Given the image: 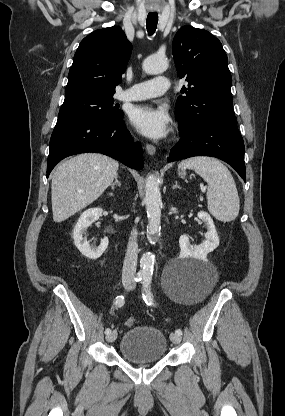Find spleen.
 Returning <instances> with one entry per match:
<instances>
[{
	"label": "spleen",
	"mask_w": 285,
	"mask_h": 416,
	"mask_svg": "<svg viewBox=\"0 0 285 416\" xmlns=\"http://www.w3.org/2000/svg\"><path fill=\"white\" fill-rule=\"evenodd\" d=\"M179 170H194L208 184V210L220 222H232L239 214L240 200L236 184L226 166L216 158H188L178 166Z\"/></svg>",
	"instance_id": "spleen-1"
}]
</instances>
